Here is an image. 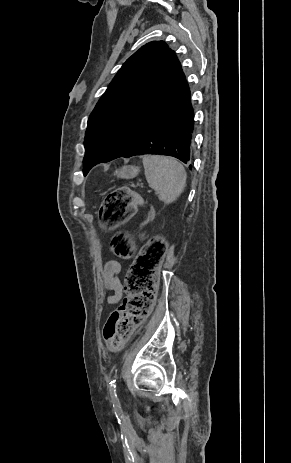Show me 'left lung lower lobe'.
I'll use <instances>...</instances> for the list:
<instances>
[{"instance_id":"0a47b994","label":"left lung lower lobe","mask_w":291,"mask_h":463,"mask_svg":"<svg viewBox=\"0 0 291 463\" xmlns=\"http://www.w3.org/2000/svg\"><path fill=\"white\" fill-rule=\"evenodd\" d=\"M193 129L194 113L190 100V90L187 87L180 94L173 107L147 131L142 140L129 152L119 157L167 155L190 165ZM119 157L109 160L100 159L96 164ZM189 167L191 168V165Z\"/></svg>"}]
</instances>
